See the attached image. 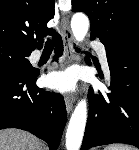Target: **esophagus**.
Instances as JSON below:
<instances>
[{
	"instance_id": "1",
	"label": "esophagus",
	"mask_w": 139,
	"mask_h": 150,
	"mask_svg": "<svg viewBox=\"0 0 139 150\" xmlns=\"http://www.w3.org/2000/svg\"><path fill=\"white\" fill-rule=\"evenodd\" d=\"M61 27H62V39L64 43L66 57L68 61L71 62L75 59L74 49H73V36L69 25L68 17L65 14H63L61 20ZM74 102H75L74 95L67 94L65 96V105L68 113H70V111L72 110Z\"/></svg>"
}]
</instances>
